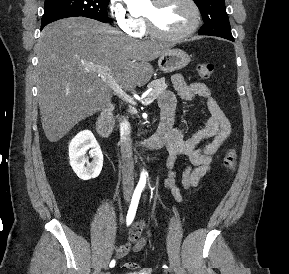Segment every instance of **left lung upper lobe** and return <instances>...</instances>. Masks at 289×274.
Returning <instances> with one entry per match:
<instances>
[{
	"instance_id": "1",
	"label": "left lung upper lobe",
	"mask_w": 289,
	"mask_h": 274,
	"mask_svg": "<svg viewBox=\"0 0 289 274\" xmlns=\"http://www.w3.org/2000/svg\"><path fill=\"white\" fill-rule=\"evenodd\" d=\"M204 21L199 35L233 37L224 0H194Z\"/></svg>"
}]
</instances>
